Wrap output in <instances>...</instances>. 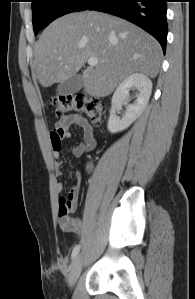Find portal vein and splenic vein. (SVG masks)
Listing matches in <instances>:
<instances>
[{
  "label": "portal vein and splenic vein",
  "mask_w": 195,
  "mask_h": 299,
  "mask_svg": "<svg viewBox=\"0 0 195 299\" xmlns=\"http://www.w3.org/2000/svg\"><path fill=\"white\" fill-rule=\"evenodd\" d=\"M87 62L89 66L95 67L98 64V59L96 57H90Z\"/></svg>",
  "instance_id": "portal-vein-and-splenic-vein-1"
}]
</instances>
